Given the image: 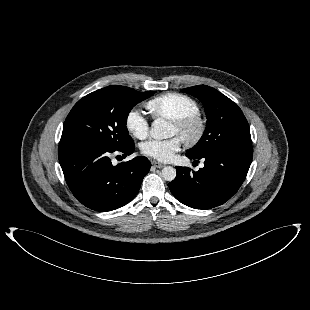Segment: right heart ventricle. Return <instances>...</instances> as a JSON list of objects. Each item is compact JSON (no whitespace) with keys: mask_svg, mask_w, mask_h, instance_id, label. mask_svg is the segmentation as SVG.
Returning <instances> with one entry per match:
<instances>
[{"mask_svg":"<svg viewBox=\"0 0 310 310\" xmlns=\"http://www.w3.org/2000/svg\"><path fill=\"white\" fill-rule=\"evenodd\" d=\"M146 107L154 117L168 120L199 112V106L193 98L176 92L157 96L149 100Z\"/></svg>","mask_w":310,"mask_h":310,"instance_id":"obj_1","label":"right heart ventricle"}]
</instances>
